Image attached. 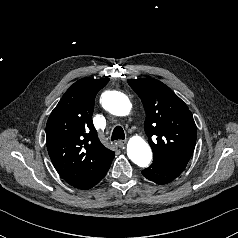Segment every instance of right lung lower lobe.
<instances>
[{
    "instance_id": "1",
    "label": "right lung lower lobe",
    "mask_w": 238,
    "mask_h": 238,
    "mask_svg": "<svg viewBox=\"0 0 238 238\" xmlns=\"http://www.w3.org/2000/svg\"><path fill=\"white\" fill-rule=\"evenodd\" d=\"M110 165L107 166L106 168H104L94 178H92L91 180H89L88 182L82 184L81 186H79L77 188L82 189V190H88V189L94 187L96 184H98L104 178V176L106 175V173L108 172V170L110 168Z\"/></svg>"
}]
</instances>
